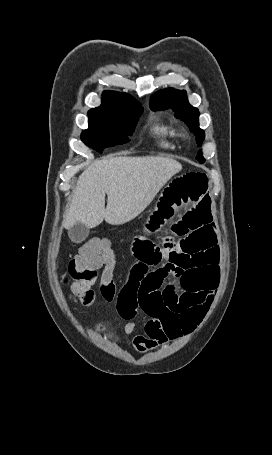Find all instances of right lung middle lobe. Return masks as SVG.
Masks as SVG:
<instances>
[{"mask_svg":"<svg viewBox=\"0 0 272 455\" xmlns=\"http://www.w3.org/2000/svg\"><path fill=\"white\" fill-rule=\"evenodd\" d=\"M143 111L139 102L111 112H88L89 128L81 140L90 148L102 152L103 148L129 142L137 120Z\"/></svg>","mask_w":272,"mask_h":455,"instance_id":"dd1d6c3e","label":"right lung middle lobe"}]
</instances>
